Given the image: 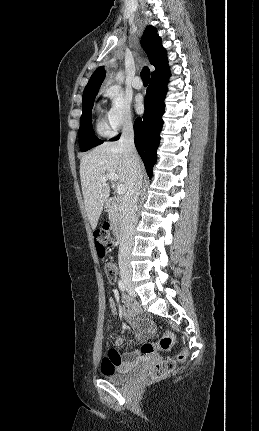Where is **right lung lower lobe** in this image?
<instances>
[{"mask_svg": "<svg viewBox=\"0 0 259 431\" xmlns=\"http://www.w3.org/2000/svg\"><path fill=\"white\" fill-rule=\"evenodd\" d=\"M169 76V68L151 75L146 91L144 115L138 117L134 123L135 146L144 162L149 178L152 177V169L157 160L156 151L160 143L159 134L163 125L162 115ZM119 137L120 135L112 140H118Z\"/></svg>", "mask_w": 259, "mask_h": 431, "instance_id": "right-lung-lower-lobe-1", "label": "right lung lower lobe"}]
</instances>
